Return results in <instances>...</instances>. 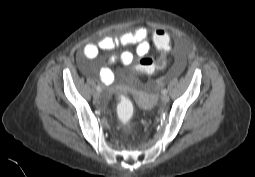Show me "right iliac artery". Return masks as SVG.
Segmentation results:
<instances>
[{
    "mask_svg": "<svg viewBox=\"0 0 255 177\" xmlns=\"http://www.w3.org/2000/svg\"><path fill=\"white\" fill-rule=\"evenodd\" d=\"M96 89H97V91H98L99 93L102 91L100 85H97V86H96Z\"/></svg>",
    "mask_w": 255,
    "mask_h": 177,
    "instance_id": "obj_1",
    "label": "right iliac artery"
}]
</instances>
